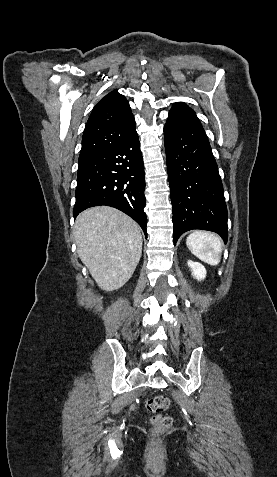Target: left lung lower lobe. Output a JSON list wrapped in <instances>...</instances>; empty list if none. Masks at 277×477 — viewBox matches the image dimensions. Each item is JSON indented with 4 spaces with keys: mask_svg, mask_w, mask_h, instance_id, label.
Here are the masks:
<instances>
[{
    "mask_svg": "<svg viewBox=\"0 0 277 477\" xmlns=\"http://www.w3.org/2000/svg\"><path fill=\"white\" fill-rule=\"evenodd\" d=\"M164 137L174 244L191 229L216 232L227 243L228 214L223 185L201 123L167 121Z\"/></svg>",
    "mask_w": 277,
    "mask_h": 477,
    "instance_id": "0a47b994",
    "label": "left lung lower lobe"
}]
</instances>
